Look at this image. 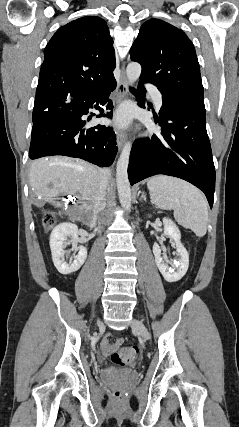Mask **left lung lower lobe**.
I'll return each mask as SVG.
<instances>
[{"mask_svg": "<svg viewBox=\"0 0 239 427\" xmlns=\"http://www.w3.org/2000/svg\"><path fill=\"white\" fill-rule=\"evenodd\" d=\"M140 81L139 90L146 92ZM162 131L134 142L128 166L131 185L157 174L184 179L201 189L213 206L215 167L205 124V107L162 93ZM139 106L145 108L139 101Z\"/></svg>", "mask_w": 239, "mask_h": 427, "instance_id": "left-lung-lower-lobe-1", "label": "left lung lower lobe"}]
</instances>
